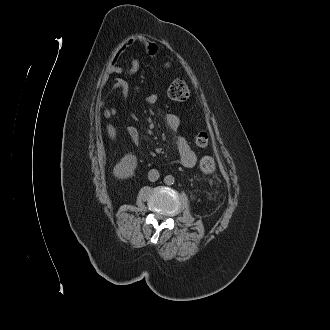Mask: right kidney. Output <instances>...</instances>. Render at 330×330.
I'll use <instances>...</instances> for the list:
<instances>
[{
    "mask_svg": "<svg viewBox=\"0 0 330 330\" xmlns=\"http://www.w3.org/2000/svg\"><path fill=\"white\" fill-rule=\"evenodd\" d=\"M137 166V158L135 155H125L113 169V176L119 180H127L134 175Z\"/></svg>",
    "mask_w": 330,
    "mask_h": 330,
    "instance_id": "obj_1",
    "label": "right kidney"
}]
</instances>
